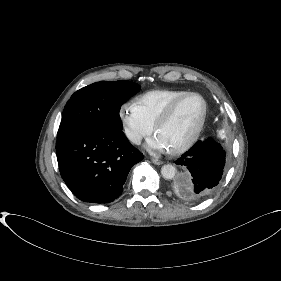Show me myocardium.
I'll return each instance as SVG.
<instances>
[{
  "instance_id": "f54148a6",
  "label": "myocardium",
  "mask_w": 281,
  "mask_h": 281,
  "mask_svg": "<svg viewBox=\"0 0 281 281\" xmlns=\"http://www.w3.org/2000/svg\"><path fill=\"white\" fill-rule=\"evenodd\" d=\"M188 97H197L201 100L202 104H203V112H202V116H201V120L199 122V125L197 126L195 132L193 133V135L190 137L189 140H187L185 143L181 144L180 146L168 150V152L170 154L176 155V154H180L185 152L186 150H188L190 147H192L194 145V143L197 141V139L199 138L203 127L205 125L206 122V118H207V112H208V106H207V102L205 100V98L196 92H187L183 95H181L180 97L174 99L166 108L165 110L161 113V115L158 117L155 125H154V132L155 134H157V132L159 131V129L169 120V118L172 116L173 112L175 111V109L177 108V106L186 98Z\"/></svg>"
}]
</instances>
